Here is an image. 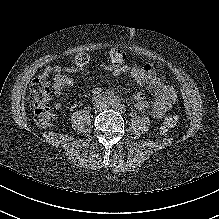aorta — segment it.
Wrapping results in <instances>:
<instances>
[{"instance_id": "1", "label": "aorta", "mask_w": 219, "mask_h": 219, "mask_svg": "<svg viewBox=\"0 0 219 219\" xmlns=\"http://www.w3.org/2000/svg\"><path fill=\"white\" fill-rule=\"evenodd\" d=\"M118 102H119V99H118V98H114V99H112V101H111L112 105H116Z\"/></svg>"}]
</instances>
